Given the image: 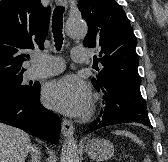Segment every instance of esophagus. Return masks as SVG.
Returning a JSON list of instances; mask_svg holds the SVG:
<instances>
[{"label":"esophagus","mask_w":168,"mask_h":162,"mask_svg":"<svg viewBox=\"0 0 168 162\" xmlns=\"http://www.w3.org/2000/svg\"><path fill=\"white\" fill-rule=\"evenodd\" d=\"M57 5L67 8V0H55ZM74 133L73 123L68 119L62 120V134L64 137H70Z\"/></svg>","instance_id":"esophagus-1"}]
</instances>
